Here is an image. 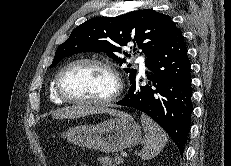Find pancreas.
I'll return each instance as SVG.
<instances>
[{"mask_svg": "<svg viewBox=\"0 0 231 166\" xmlns=\"http://www.w3.org/2000/svg\"><path fill=\"white\" fill-rule=\"evenodd\" d=\"M101 166H117L122 163V159L118 156L113 160L111 157H102L99 159Z\"/></svg>", "mask_w": 231, "mask_h": 166, "instance_id": "pancreas-1", "label": "pancreas"}]
</instances>
